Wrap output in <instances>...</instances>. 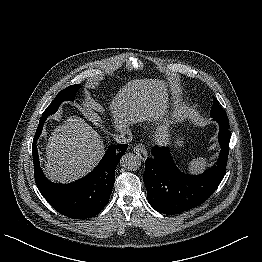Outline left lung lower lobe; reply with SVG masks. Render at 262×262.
<instances>
[{
	"label": "left lung lower lobe",
	"mask_w": 262,
	"mask_h": 262,
	"mask_svg": "<svg viewBox=\"0 0 262 262\" xmlns=\"http://www.w3.org/2000/svg\"><path fill=\"white\" fill-rule=\"evenodd\" d=\"M217 122L220 125V156L216 165L203 174L192 176L181 172L168 147L155 146L151 150L153 157L145 162L143 180L148 201L155 210L168 215L190 210L206 201L217 189L226 173L231 138L228 117Z\"/></svg>",
	"instance_id": "obj_1"
}]
</instances>
